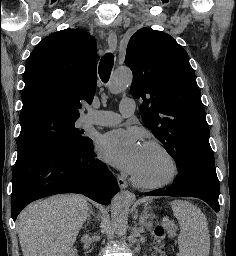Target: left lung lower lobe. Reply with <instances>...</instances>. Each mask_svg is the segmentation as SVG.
Instances as JSON below:
<instances>
[{
    "mask_svg": "<svg viewBox=\"0 0 236 256\" xmlns=\"http://www.w3.org/2000/svg\"><path fill=\"white\" fill-rule=\"evenodd\" d=\"M219 192L220 183L215 163L192 161L178 168V175L166 191L156 189L142 195L196 197L204 200L215 212H218Z\"/></svg>",
    "mask_w": 236,
    "mask_h": 256,
    "instance_id": "left-lung-lower-lobe-1",
    "label": "left lung lower lobe"
}]
</instances>
